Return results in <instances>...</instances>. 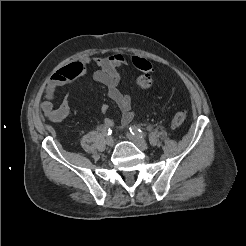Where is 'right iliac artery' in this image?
I'll list each match as a JSON object with an SVG mask.
<instances>
[{
    "label": "right iliac artery",
    "instance_id": "obj_1",
    "mask_svg": "<svg viewBox=\"0 0 246 246\" xmlns=\"http://www.w3.org/2000/svg\"><path fill=\"white\" fill-rule=\"evenodd\" d=\"M111 133H112V130L110 129V127L107 126V125H104V127H103V134L105 136H109V135H111Z\"/></svg>",
    "mask_w": 246,
    "mask_h": 246
}]
</instances>
